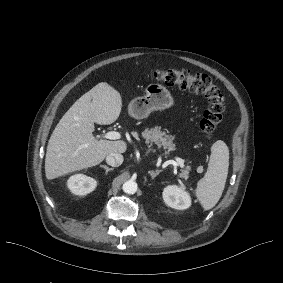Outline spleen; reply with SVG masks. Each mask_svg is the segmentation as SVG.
Returning <instances> with one entry per match:
<instances>
[{"label": "spleen", "instance_id": "3e777b00", "mask_svg": "<svg viewBox=\"0 0 283 283\" xmlns=\"http://www.w3.org/2000/svg\"><path fill=\"white\" fill-rule=\"evenodd\" d=\"M228 166V147L225 142L216 141L211 149L207 173L197 186V194L206 209L212 208L219 201L225 188Z\"/></svg>", "mask_w": 283, "mask_h": 283}]
</instances>
